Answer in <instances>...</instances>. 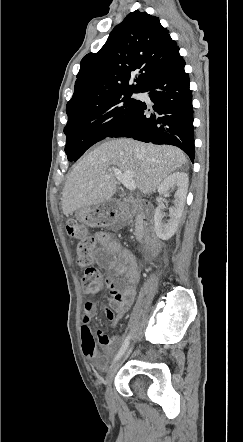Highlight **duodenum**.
<instances>
[{"mask_svg":"<svg viewBox=\"0 0 243 442\" xmlns=\"http://www.w3.org/2000/svg\"><path fill=\"white\" fill-rule=\"evenodd\" d=\"M124 205L129 209H137L139 212V224L142 230L143 239L147 247L146 257L150 256L157 246V236L154 230L153 219L150 216V208L148 204L136 203L132 199H127L124 201Z\"/></svg>","mask_w":243,"mask_h":442,"instance_id":"1","label":"duodenum"}]
</instances>
